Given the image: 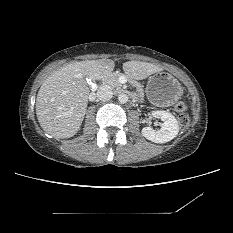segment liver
I'll return each mask as SVG.
<instances>
[{"mask_svg":"<svg viewBox=\"0 0 233 233\" xmlns=\"http://www.w3.org/2000/svg\"><path fill=\"white\" fill-rule=\"evenodd\" d=\"M115 67L111 59L88 60L61 67L46 78L36 99V115L42 129L56 138H70L80 129L88 104L86 77L100 80ZM163 67L142 61L123 63V71L141 80Z\"/></svg>","mask_w":233,"mask_h":233,"instance_id":"obj_1","label":"liver"}]
</instances>
